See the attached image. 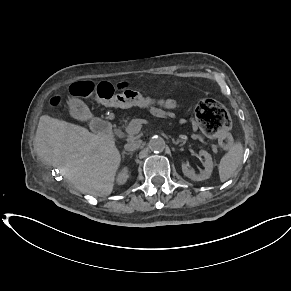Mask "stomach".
Instances as JSON below:
<instances>
[{
  "instance_id": "1",
  "label": "stomach",
  "mask_w": 291,
  "mask_h": 291,
  "mask_svg": "<svg viewBox=\"0 0 291 291\" xmlns=\"http://www.w3.org/2000/svg\"><path fill=\"white\" fill-rule=\"evenodd\" d=\"M71 113L76 117H83L87 114V106L79 99L72 98L69 100Z\"/></svg>"
}]
</instances>
